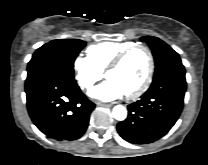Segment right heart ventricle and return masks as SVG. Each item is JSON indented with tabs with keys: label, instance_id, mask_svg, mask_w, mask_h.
<instances>
[{
	"label": "right heart ventricle",
	"instance_id": "1",
	"mask_svg": "<svg viewBox=\"0 0 208 165\" xmlns=\"http://www.w3.org/2000/svg\"><path fill=\"white\" fill-rule=\"evenodd\" d=\"M133 44L130 41H102L89 46L86 53L93 64L103 71L119 52Z\"/></svg>",
	"mask_w": 208,
	"mask_h": 165
}]
</instances>
